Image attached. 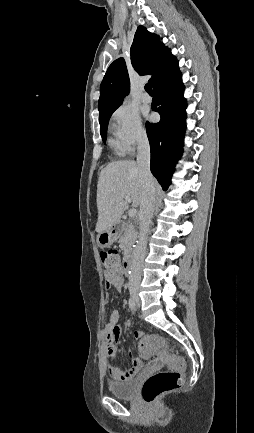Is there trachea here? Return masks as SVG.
I'll return each mask as SVG.
<instances>
[{
    "label": "trachea",
    "mask_w": 254,
    "mask_h": 433,
    "mask_svg": "<svg viewBox=\"0 0 254 433\" xmlns=\"http://www.w3.org/2000/svg\"><path fill=\"white\" fill-rule=\"evenodd\" d=\"M145 90H146V92H147L149 95H153V90H152V86H151L150 83H147V84L145 85Z\"/></svg>",
    "instance_id": "obj_1"
}]
</instances>
